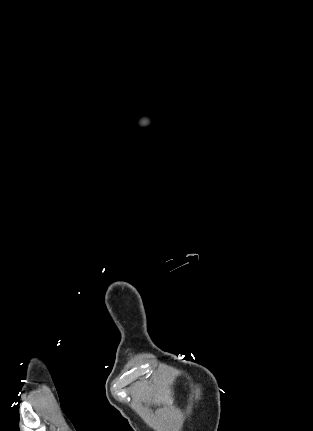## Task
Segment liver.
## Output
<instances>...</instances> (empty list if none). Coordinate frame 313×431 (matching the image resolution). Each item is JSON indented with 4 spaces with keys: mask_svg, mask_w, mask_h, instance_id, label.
<instances>
[{
    "mask_svg": "<svg viewBox=\"0 0 313 431\" xmlns=\"http://www.w3.org/2000/svg\"><path fill=\"white\" fill-rule=\"evenodd\" d=\"M160 400L163 404H171L173 402V398L169 396V391L164 392V397H160Z\"/></svg>",
    "mask_w": 313,
    "mask_h": 431,
    "instance_id": "liver-1",
    "label": "liver"
}]
</instances>
